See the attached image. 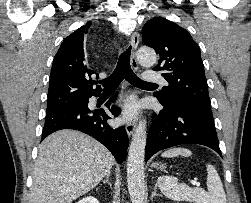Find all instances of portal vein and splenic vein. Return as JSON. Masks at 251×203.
<instances>
[{"mask_svg":"<svg viewBox=\"0 0 251 203\" xmlns=\"http://www.w3.org/2000/svg\"><path fill=\"white\" fill-rule=\"evenodd\" d=\"M192 184H193L194 186H196V187H200V183H199V182L194 181V182H192Z\"/></svg>","mask_w":251,"mask_h":203,"instance_id":"obj_1","label":"portal vein and splenic vein"}]
</instances>
